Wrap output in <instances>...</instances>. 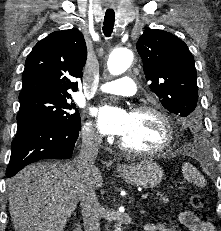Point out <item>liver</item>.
I'll use <instances>...</instances> for the list:
<instances>
[{"mask_svg":"<svg viewBox=\"0 0 221 231\" xmlns=\"http://www.w3.org/2000/svg\"><path fill=\"white\" fill-rule=\"evenodd\" d=\"M93 188L103 178L95 167ZM9 212L15 231H64L81 200V173L72 162H39L22 169L7 183Z\"/></svg>","mask_w":221,"mask_h":231,"instance_id":"obj_1","label":"liver"}]
</instances>
